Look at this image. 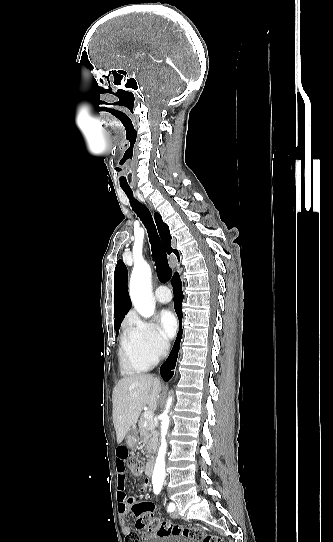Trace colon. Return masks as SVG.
<instances>
[{
	"label": "colon",
	"instance_id": "5ec220e1",
	"mask_svg": "<svg viewBox=\"0 0 333 542\" xmlns=\"http://www.w3.org/2000/svg\"><path fill=\"white\" fill-rule=\"evenodd\" d=\"M130 468L134 476H141L146 472L145 464L135 458L130 459ZM134 501V498H131ZM154 503L152 500H143L131 507V513L135 520L136 528H140L151 539L165 538L170 535L179 536L193 542H230L228 536H216L204 532L199 527H188L182 524L161 520L152 514ZM128 542H141L142 537L137 539L136 533L130 534Z\"/></svg>",
	"mask_w": 333,
	"mask_h": 542
}]
</instances>
